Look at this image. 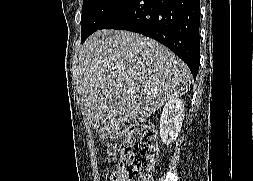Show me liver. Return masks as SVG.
Instances as JSON below:
<instances>
[{"instance_id":"1","label":"liver","mask_w":253,"mask_h":181,"mask_svg":"<svg viewBox=\"0 0 253 181\" xmlns=\"http://www.w3.org/2000/svg\"><path fill=\"white\" fill-rule=\"evenodd\" d=\"M79 92L87 123L98 129L150 117L185 94L188 67L157 41L129 31L92 34L79 53Z\"/></svg>"}]
</instances>
